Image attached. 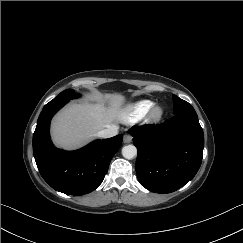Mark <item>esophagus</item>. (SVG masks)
Masks as SVG:
<instances>
[{
	"mask_svg": "<svg viewBox=\"0 0 243 243\" xmlns=\"http://www.w3.org/2000/svg\"><path fill=\"white\" fill-rule=\"evenodd\" d=\"M132 141V136L131 135H129V134H125L124 136H123V142L124 143H130Z\"/></svg>",
	"mask_w": 243,
	"mask_h": 243,
	"instance_id": "esophagus-1",
	"label": "esophagus"
}]
</instances>
